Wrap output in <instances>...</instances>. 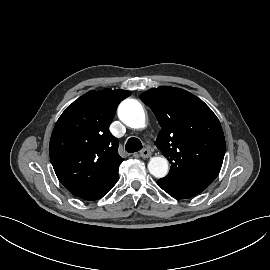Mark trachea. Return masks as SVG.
<instances>
[{
  "mask_svg": "<svg viewBox=\"0 0 270 270\" xmlns=\"http://www.w3.org/2000/svg\"><path fill=\"white\" fill-rule=\"evenodd\" d=\"M142 143L138 138H130L125 146V149L129 153L137 152L142 149Z\"/></svg>",
  "mask_w": 270,
  "mask_h": 270,
  "instance_id": "3493384b",
  "label": "trachea"
}]
</instances>
